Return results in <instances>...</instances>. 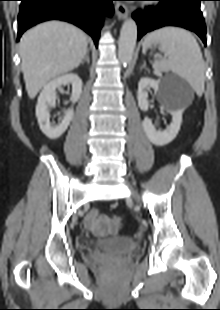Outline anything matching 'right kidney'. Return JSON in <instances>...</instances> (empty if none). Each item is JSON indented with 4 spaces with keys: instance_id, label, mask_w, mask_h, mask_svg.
<instances>
[{
    "instance_id": "ca27d5eb",
    "label": "right kidney",
    "mask_w": 220,
    "mask_h": 310,
    "mask_svg": "<svg viewBox=\"0 0 220 310\" xmlns=\"http://www.w3.org/2000/svg\"><path fill=\"white\" fill-rule=\"evenodd\" d=\"M72 85L71 101L77 102L82 93V80L75 73H67L49 81L41 91L36 105V117L41 131L50 139L59 138L68 128L73 118V109L64 112V117L58 125L50 123L49 107L55 104L56 89Z\"/></svg>"
}]
</instances>
